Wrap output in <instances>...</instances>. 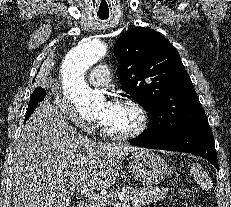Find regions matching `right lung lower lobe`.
<instances>
[{"label": "right lung lower lobe", "instance_id": "obj_1", "mask_svg": "<svg viewBox=\"0 0 231 207\" xmlns=\"http://www.w3.org/2000/svg\"><path fill=\"white\" fill-rule=\"evenodd\" d=\"M44 97H45V91H44L43 96H39V97H37L34 100H30L24 122L28 120V118L30 117V115L32 114V112L37 107L38 103L40 101H42L44 99Z\"/></svg>", "mask_w": 231, "mask_h": 207}]
</instances>
